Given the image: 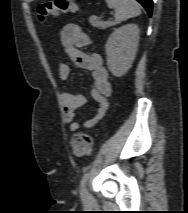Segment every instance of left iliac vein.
<instances>
[{
  "label": "left iliac vein",
  "mask_w": 188,
  "mask_h": 213,
  "mask_svg": "<svg viewBox=\"0 0 188 213\" xmlns=\"http://www.w3.org/2000/svg\"><path fill=\"white\" fill-rule=\"evenodd\" d=\"M83 193H84L85 196H88V190L86 188H84Z\"/></svg>",
  "instance_id": "obj_1"
}]
</instances>
